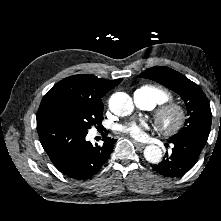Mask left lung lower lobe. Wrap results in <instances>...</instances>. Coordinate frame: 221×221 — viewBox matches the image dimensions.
<instances>
[{"instance_id":"left-lung-lower-lobe-1","label":"left lung lower lobe","mask_w":221,"mask_h":221,"mask_svg":"<svg viewBox=\"0 0 221 221\" xmlns=\"http://www.w3.org/2000/svg\"><path fill=\"white\" fill-rule=\"evenodd\" d=\"M209 131L192 132L180 137H171L174 144L172 153L166 155L162 162L152 168L164 177H181L197 162L205 146Z\"/></svg>"}]
</instances>
